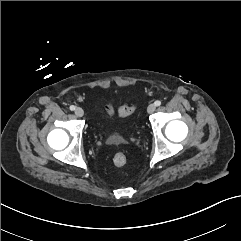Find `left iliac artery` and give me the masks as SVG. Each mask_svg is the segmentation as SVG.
<instances>
[{"label": "left iliac artery", "instance_id": "1", "mask_svg": "<svg viewBox=\"0 0 241 241\" xmlns=\"http://www.w3.org/2000/svg\"><path fill=\"white\" fill-rule=\"evenodd\" d=\"M155 105L156 106H160L161 105V101L160 100L155 101Z\"/></svg>", "mask_w": 241, "mask_h": 241}]
</instances>
